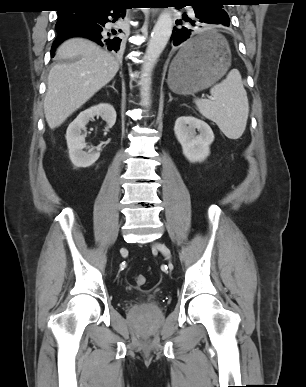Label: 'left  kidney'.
Returning <instances> with one entry per match:
<instances>
[{
  "label": "left kidney",
  "instance_id": "obj_1",
  "mask_svg": "<svg viewBox=\"0 0 306 387\" xmlns=\"http://www.w3.org/2000/svg\"><path fill=\"white\" fill-rule=\"evenodd\" d=\"M174 132L190 162H202L209 156L214 134L206 122L193 116H181L175 122Z\"/></svg>",
  "mask_w": 306,
  "mask_h": 387
}]
</instances>
